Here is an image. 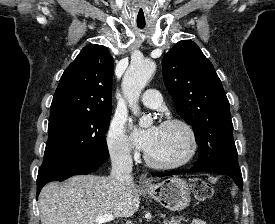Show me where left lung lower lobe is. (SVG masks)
Listing matches in <instances>:
<instances>
[{
    "instance_id": "1",
    "label": "left lung lower lobe",
    "mask_w": 275,
    "mask_h": 224,
    "mask_svg": "<svg viewBox=\"0 0 275 224\" xmlns=\"http://www.w3.org/2000/svg\"><path fill=\"white\" fill-rule=\"evenodd\" d=\"M194 171H208L206 166L204 164L201 163H196L192 168L190 169H186V170H172V171H168L162 175V176H170V175H178L181 173H186V172H194ZM223 175H227L229 177H231L234 182L239 186L240 189H243V180H242V175L241 172H230V171H220L217 172Z\"/></svg>"
}]
</instances>
